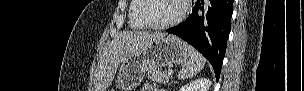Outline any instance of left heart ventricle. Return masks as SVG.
I'll list each match as a JSON object with an SVG mask.
<instances>
[{"label": "left heart ventricle", "instance_id": "left-heart-ventricle-1", "mask_svg": "<svg viewBox=\"0 0 304 91\" xmlns=\"http://www.w3.org/2000/svg\"><path fill=\"white\" fill-rule=\"evenodd\" d=\"M179 11L177 0H147L145 17L153 24H164L173 20Z\"/></svg>", "mask_w": 304, "mask_h": 91}]
</instances>
